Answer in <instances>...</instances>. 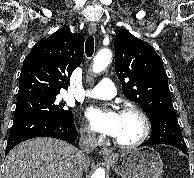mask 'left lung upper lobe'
Wrapping results in <instances>:
<instances>
[{"instance_id":"5c2ea615","label":"left lung upper lobe","mask_w":194,"mask_h":178,"mask_svg":"<svg viewBox=\"0 0 194 178\" xmlns=\"http://www.w3.org/2000/svg\"><path fill=\"white\" fill-rule=\"evenodd\" d=\"M114 49L115 71L124 95L139 103L148 117L156 112L174 111L163 61L154 48L120 29Z\"/></svg>"}]
</instances>
